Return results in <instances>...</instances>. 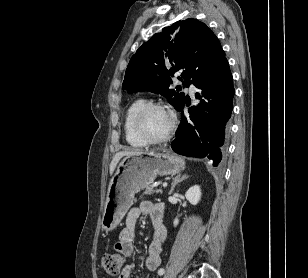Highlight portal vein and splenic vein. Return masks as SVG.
Instances as JSON below:
<instances>
[{
  "label": "portal vein and splenic vein",
  "instance_id": "1",
  "mask_svg": "<svg viewBox=\"0 0 308 278\" xmlns=\"http://www.w3.org/2000/svg\"><path fill=\"white\" fill-rule=\"evenodd\" d=\"M162 186H163L164 188H165V187H167V183H163V185H162Z\"/></svg>",
  "mask_w": 308,
  "mask_h": 278
}]
</instances>
